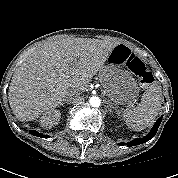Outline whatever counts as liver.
<instances>
[{"instance_id": "liver-1", "label": "liver", "mask_w": 178, "mask_h": 178, "mask_svg": "<svg viewBox=\"0 0 178 178\" xmlns=\"http://www.w3.org/2000/svg\"><path fill=\"white\" fill-rule=\"evenodd\" d=\"M118 44L90 38L44 43L12 77L8 98L13 114L20 121L35 120L61 105L73 89L84 92Z\"/></svg>"}]
</instances>
